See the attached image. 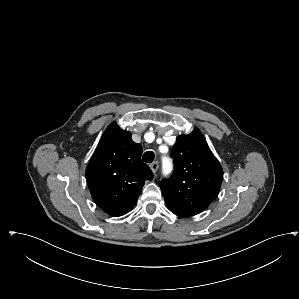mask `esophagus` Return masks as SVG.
Masks as SVG:
<instances>
[{"label":"esophagus","instance_id":"esophagus-1","mask_svg":"<svg viewBox=\"0 0 299 299\" xmlns=\"http://www.w3.org/2000/svg\"><path fill=\"white\" fill-rule=\"evenodd\" d=\"M150 168L153 171V173H156L158 168H159V163L158 162H153L152 164H150Z\"/></svg>","mask_w":299,"mask_h":299}]
</instances>
